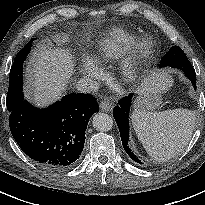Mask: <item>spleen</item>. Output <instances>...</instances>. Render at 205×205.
Instances as JSON below:
<instances>
[{"mask_svg":"<svg viewBox=\"0 0 205 205\" xmlns=\"http://www.w3.org/2000/svg\"><path fill=\"white\" fill-rule=\"evenodd\" d=\"M195 123V112L173 109L162 112L132 114L134 130L147 153L158 162L179 154L189 143Z\"/></svg>","mask_w":205,"mask_h":205,"instance_id":"1","label":"spleen"}]
</instances>
